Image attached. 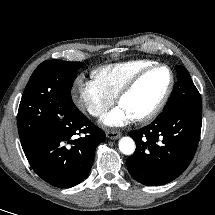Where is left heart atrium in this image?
<instances>
[{
	"label": "left heart atrium",
	"instance_id": "obj_1",
	"mask_svg": "<svg viewBox=\"0 0 215 215\" xmlns=\"http://www.w3.org/2000/svg\"><path fill=\"white\" fill-rule=\"evenodd\" d=\"M132 119L130 113L122 105H119L107 113L101 122L107 127H120L128 124Z\"/></svg>",
	"mask_w": 215,
	"mask_h": 215
}]
</instances>
